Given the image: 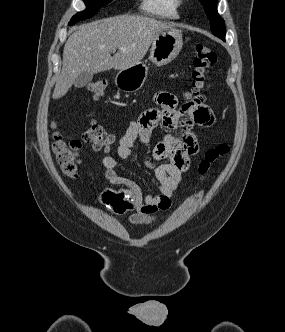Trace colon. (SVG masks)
Returning <instances> with one entry per match:
<instances>
[{"label":"colon","instance_id":"1","mask_svg":"<svg viewBox=\"0 0 285 332\" xmlns=\"http://www.w3.org/2000/svg\"><path fill=\"white\" fill-rule=\"evenodd\" d=\"M216 62L217 54L213 49L204 44L195 46L194 70L192 73V93L194 95L208 88L209 73ZM106 89L107 82L102 79L92 81L87 86V91L94 100L103 98ZM83 140L92 144L96 150H107L113 142V137L100 125L90 121L83 133ZM52 148L62 172L71 178L77 177L81 142L76 139L66 138L60 133H55ZM227 152L228 147L225 145L208 150L199 165L200 176H206L216 161L227 154Z\"/></svg>","mask_w":285,"mask_h":332}]
</instances>
